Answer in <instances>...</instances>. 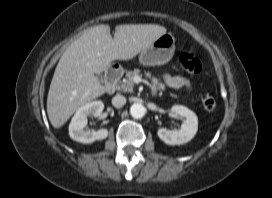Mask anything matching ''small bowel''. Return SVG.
<instances>
[{"mask_svg":"<svg viewBox=\"0 0 272 198\" xmlns=\"http://www.w3.org/2000/svg\"><path fill=\"white\" fill-rule=\"evenodd\" d=\"M163 79L167 85L173 88H185L187 90L191 88V82L184 77L166 74L163 76Z\"/></svg>","mask_w":272,"mask_h":198,"instance_id":"1","label":"small bowel"}]
</instances>
